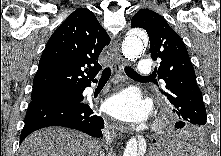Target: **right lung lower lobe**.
<instances>
[{
  "label": "right lung lower lobe",
  "mask_w": 221,
  "mask_h": 156,
  "mask_svg": "<svg viewBox=\"0 0 221 156\" xmlns=\"http://www.w3.org/2000/svg\"><path fill=\"white\" fill-rule=\"evenodd\" d=\"M89 86L91 85L86 87ZM49 126L68 127L93 137H102L104 120L94 112V106L83 99L77 102L31 101L25 116L20 143L33 131Z\"/></svg>",
  "instance_id": "98d812e1"
}]
</instances>
